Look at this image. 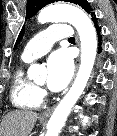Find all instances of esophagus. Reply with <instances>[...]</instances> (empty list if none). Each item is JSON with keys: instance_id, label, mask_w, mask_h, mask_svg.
Listing matches in <instances>:
<instances>
[{"instance_id": "34e87169", "label": "esophagus", "mask_w": 117, "mask_h": 136, "mask_svg": "<svg viewBox=\"0 0 117 136\" xmlns=\"http://www.w3.org/2000/svg\"><path fill=\"white\" fill-rule=\"evenodd\" d=\"M78 65H79V59L77 60V63H76L75 73H76L77 70H78ZM54 108H55V106H53V107H51V108L45 110L44 112H42L41 115H40V118H42V119L48 118V117L51 115V113H52V111L54 110Z\"/></svg>"}]
</instances>
